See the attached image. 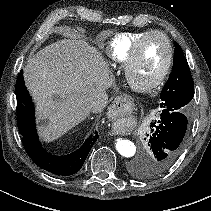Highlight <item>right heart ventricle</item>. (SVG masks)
Here are the masks:
<instances>
[{
  "label": "right heart ventricle",
  "instance_id": "e07e8e85",
  "mask_svg": "<svg viewBox=\"0 0 211 211\" xmlns=\"http://www.w3.org/2000/svg\"><path fill=\"white\" fill-rule=\"evenodd\" d=\"M148 31L117 34L108 44L106 54L112 63L125 66L136 41Z\"/></svg>",
  "mask_w": 211,
  "mask_h": 211
}]
</instances>
